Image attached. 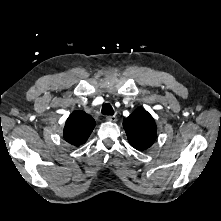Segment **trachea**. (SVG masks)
I'll return each instance as SVG.
<instances>
[{"label": "trachea", "instance_id": "1", "mask_svg": "<svg viewBox=\"0 0 221 221\" xmlns=\"http://www.w3.org/2000/svg\"><path fill=\"white\" fill-rule=\"evenodd\" d=\"M102 114L103 115H108V116H111V115L114 114V110H113L112 106L109 103H106V104L103 105Z\"/></svg>", "mask_w": 221, "mask_h": 221}]
</instances>
